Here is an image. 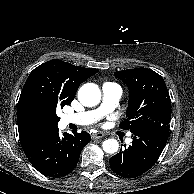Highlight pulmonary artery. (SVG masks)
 <instances>
[{"label": "pulmonary artery", "instance_id": "pulmonary-artery-1", "mask_svg": "<svg viewBox=\"0 0 194 194\" xmlns=\"http://www.w3.org/2000/svg\"><path fill=\"white\" fill-rule=\"evenodd\" d=\"M102 94V103L97 109L67 114L64 116V122L66 124L90 125L112 112L121 98L122 91L120 87L113 83H104L102 86ZM130 141V138L126 139L127 143Z\"/></svg>", "mask_w": 194, "mask_h": 194}]
</instances>
